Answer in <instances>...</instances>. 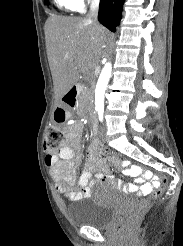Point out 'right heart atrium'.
Masks as SVG:
<instances>
[{"label": "right heart atrium", "mask_w": 183, "mask_h": 246, "mask_svg": "<svg viewBox=\"0 0 183 246\" xmlns=\"http://www.w3.org/2000/svg\"><path fill=\"white\" fill-rule=\"evenodd\" d=\"M78 7V9H82L86 2H90L92 0H73Z\"/></svg>", "instance_id": "right-heart-atrium-1"}]
</instances>
